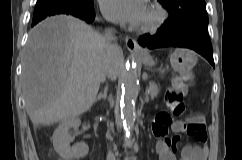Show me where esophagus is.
Here are the masks:
<instances>
[{"mask_svg":"<svg viewBox=\"0 0 242 160\" xmlns=\"http://www.w3.org/2000/svg\"><path fill=\"white\" fill-rule=\"evenodd\" d=\"M125 44L130 52L144 53V50L138 45L136 40L131 36H126Z\"/></svg>","mask_w":242,"mask_h":160,"instance_id":"34e87169","label":"esophagus"}]
</instances>
